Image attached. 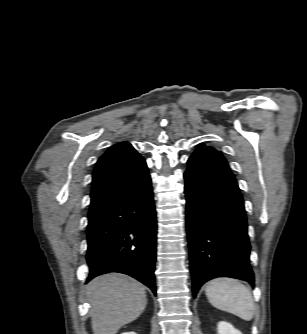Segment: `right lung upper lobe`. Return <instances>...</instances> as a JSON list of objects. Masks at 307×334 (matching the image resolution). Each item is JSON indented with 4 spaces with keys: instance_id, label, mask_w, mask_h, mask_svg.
<instances>
[{
    "instance_id": "cb5924a9",
    "label": "right lung upper lobe",
    "mask_w": 307,
    "mask_h": 334,
    "mask_svg": "<svg viewBox=\"0 0 307 334\" xmlns=\"http://www.w3.org/2000/svg\"><path fill=\"white\" fill-rule=\"evenodd\" d=\"M142 156L128 142H120L98 160L94 171L88 216L149 178Z\"/></svg>"
}]
</instances>
